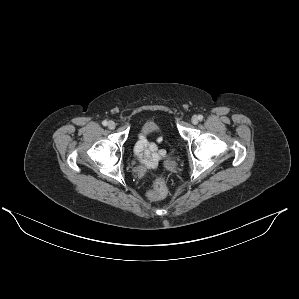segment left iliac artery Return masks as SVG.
I'll return each mask as SVG.
<instances>
[{"label": "left iliac artery", "instance_id": "left-iliac-artery-1", "mask_svg": "<svg viewBox=\"0 0 299 299\" xmlns=\"http://www.w3.org/2000/svg\"><path fill=\"white\" fill-rule=\"evenodd\" d=\"M198 119L201 121V120H203V116L202 115H199L198 116Z\"/></svg>", "mask_w": 299, "mask_h": 299}]
</instances>
